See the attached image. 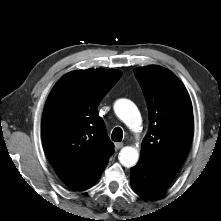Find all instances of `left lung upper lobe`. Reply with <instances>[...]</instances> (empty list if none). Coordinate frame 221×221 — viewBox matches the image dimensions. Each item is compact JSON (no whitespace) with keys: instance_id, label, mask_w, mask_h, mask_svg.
I'll list each match as a JSON object with an SVG mask.
<instances>
[{"instance_id":"1","label":"left lung upper lobe","mask_w":221,"mask_h":221,"mask_svg":"<svg viewBox=\"0 0 221 221\" xmlns=\"http://www.w3.org/2000/svg\"><path fill=\"white\" fill-rule=\"evenodd\" d=\"M134 74L149 114L148 133L142 141L139 161L174 177L188 155L193 137L189 94L176 75L164 67H141Z\"/></svg>"}]
</instances>
